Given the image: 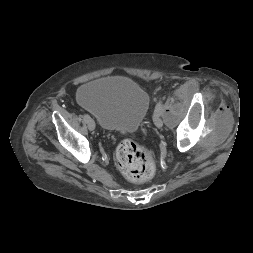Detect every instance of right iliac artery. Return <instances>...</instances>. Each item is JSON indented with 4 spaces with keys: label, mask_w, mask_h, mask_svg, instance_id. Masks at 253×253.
Segmentation results:
<instances>
[{
    "label": "right iliac artery",
    "mask_w": 253,
    "mask_h": 253,
    "mask_svg": "<svg viewBox=\"0 0 253 253\" xmlns=\"http://www.w3.org/2000/svg\"><path fill=\"white\" fill-rule=\"evenodd\" d=\"M83 118L87 121V120L90 119V116H89L88 114H84V115H83Z\"/></svg>",
    "instance_id": "82829eb1"
}]
</instances>
